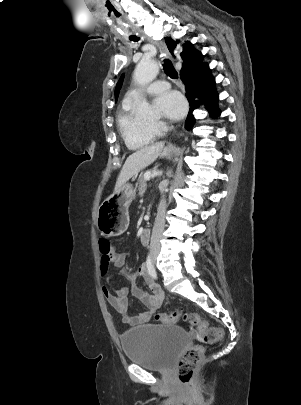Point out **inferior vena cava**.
I'll list each match as a JSON object with an SVG mask.
<instances>
[{"label": "inferior vena cava", "instance_id": "inferior-vena-cava-1", "mask_svg": "<svg viewBox=\"0 0 301 405\" xmlns=\"http://www.w3.org/2000/svg\"><path fill=\"white\" fill-rule=\"evenodd\" d=\"M163 192H164V189L161 191V193H163ZM165 212H166V200L163 196L158 205L157 215H156L154 226L152 229L151 242H150L151 254H158L160 251V238H161L162 232L164 230V225H165Z\"/></svg>", "mask_w": 301, "mask_h": 405}]
</instances>
